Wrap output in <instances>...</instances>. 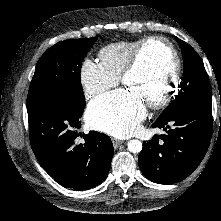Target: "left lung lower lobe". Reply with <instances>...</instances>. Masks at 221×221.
I'll list each match as a JSON object with an SVG mask.
<instances>
[{
	"instance_id": "1",
	"label": "left lung lower lobe",
	"mask_w": 221,
	"mask_h": 221,
	"mask_svg": "<svg viewBox=\"0 0 221 221\" xmlns=\"http://www.w3.org/2000/svg\"><path fill=\"white\" fill-rule=\"evenodd\" d=\"M153 128H163V135L143 144L139 167L146 178L159 184H173L189 176L202 161L212 133L209 106H192L164 118Z\"/></svg>"
}]
</instances>
